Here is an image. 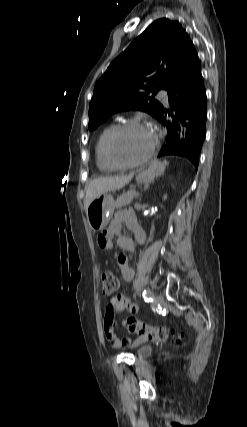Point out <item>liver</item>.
Listing matches in <instances>:
<instances>
[{"mask_svg":"<svg viewBox=\"0 0 247 427\" xmlns=\"http://www.w3.org/2000/svg\"><path fill=\"white\" fill-rule=\"evenodd\" d=\"M133 178V173L125 176L100 177L90 182L86 192L85 209L100 194L122 188Z\"/></svg>","mask_w":247,"mask_h":427,"instance_id":"liver-1","label":"liver"}]
</instances>
